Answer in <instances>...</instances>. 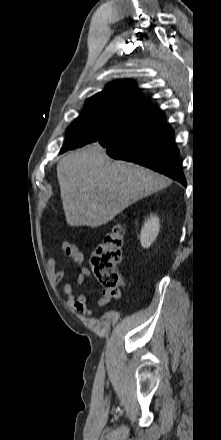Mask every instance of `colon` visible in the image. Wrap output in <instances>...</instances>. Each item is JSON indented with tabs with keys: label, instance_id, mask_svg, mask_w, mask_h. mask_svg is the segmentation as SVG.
Masks as SVG:
<instances>
[{
	"label": "colon",
	"instance_id": "1",
	"mask_svg": "<svg viewBox=\"0 0 221 440\" xmlns=\"http://www.w3.org/2000/svg\"><path fill=\"white\" fill-rule=\"evenodd\" d=\"M123 233L120 225H114L98 243L91 256V266L98 283L105 289L119 291L123 284L117 267L122 260Z\"/></svg>",
	"mask_w": 221,
	"mask_h": 440
}]
</instances>
